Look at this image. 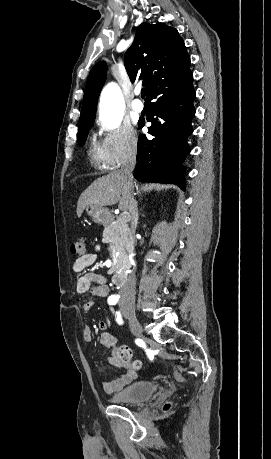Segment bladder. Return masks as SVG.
<instances>
[{
    "instance_id": "1",
    "label": "bladder",
    "mask_w": 271,
    "mask_h": 459,
    "mask_svg": "<svg viewBox=\"0 0 271 459\" xmlns=\"http://www.w3.org/2000/svg\"><path fill=\"white\" fill-rule=\"evenodd\" d=\"M155 391L156 383L154 381L132 382L127 388L111 397L114 404H140L142 401L149 400Z\"/></svg>"
}]
</instances>
